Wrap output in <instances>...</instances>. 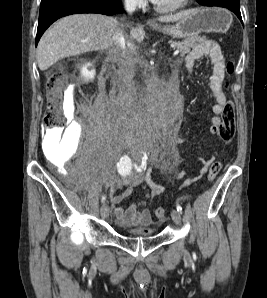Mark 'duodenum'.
<instances>
[{
  "instance_id": "duodenum-1",
  "label": "duodenum",
  "mask_w": 267,
  "mask_h": 298,
  "mask_svg": "<svg viewBox=\"0 0 267 298\" xmlns=\"http://www.w3.org/2000/svg\"><path fill=\"white\" fill-rule=\"evenodd\" d=\"M174 77L172 78V84H170L169 86H171V89L173 88V86H174Z\"/></svg>"
}]
</instances>
